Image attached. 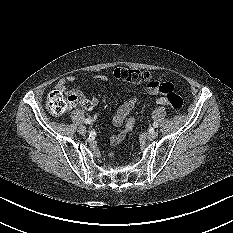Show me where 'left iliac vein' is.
<instances>
[{
  "instance_id": "left-iliac-vein-1",
  "label": "left iliac vein",
  "mask_w": 233,
  "mask_h": 233,
  "mask_svg": "<svg viewBox=\"0 0 233 233\" xmlns=\"http://www.w3.org/2000/svg\"><path fill=\"white\" fill-rule=\"evenodd\" d=\"M158 136V132L155 130H151L149 131V133L147 134V137L149 139H155Z\"/></svg>"
}]
</instances>
